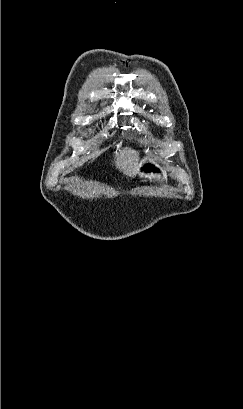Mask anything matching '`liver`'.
I'll return each instance as SVG.
<instances>
[{
    "instance_id": "liver-1",
    "label": "liver",
    "mask_w": 243,
    "mask_h": 409,
    "mask_svg": "<svg viewBox=\"0 0 243 409\" xmlns=\"http://www.w3.org/2000/svg\"><path fill=\"white\" fill-rule=\"evenodd\" d=\"M139 163V152L131 149H124L115 158V165L125 175L134 177L137 174Z\"/></svg>"
}]
</instances>
